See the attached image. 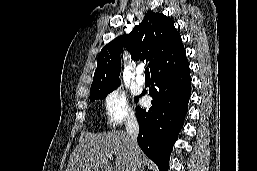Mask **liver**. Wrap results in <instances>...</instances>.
<instances>
[{"mask_svg": "<svg viewBox=\"0 0 257 171\" xmlns=\"http://www.w3.org/2000/svg\"><path fill=\"white\" fill-rule=\"evenodd\" d=\"M81 137L69 158L66 171H131L130 141L126 133H82Z\"/></svg>", "mask_w": 257, "mask_h": 171, "instance_id": "liver-1", "label": "liver"}]
</instances>
